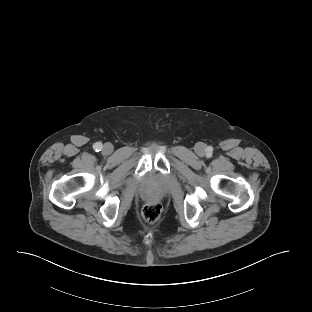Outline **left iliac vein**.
Instances as JSON below:
<instances>
[{"mask_svg":"<svg viewBox=\"0 0 312 312\" xmlns=\"http://www.w3.org/2000/svg\"><path fill=\"white\" fill-rule=\"evenodd\" d=\"M195 152H196L198 155L202 156V155L204 154V152H205V146H204V144L198 143V144L195 146Z\"/></svg>","mask_w":312,"mask_h":312,"instance_id":"left-iliac-vein-1","label":"left iliac vein"}]
</instances>
